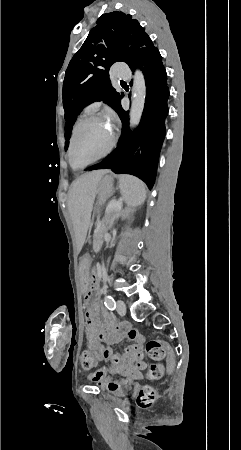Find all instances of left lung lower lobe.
I'll return each instance as SVG.
<instances>
[{
    "mask_svg": "<svg viewBox=\"0 0 241 450\" xmlns=\"http://www.w3.org/2000/svg\"><path fill=\"white\" fill-rule=\"evenodd\" d=\"M130 68L132 71L140 68L146 81V99L140 124L136 131L131 133L129 113L120 106L117 113L122 121V133L117 148L104 161L86 170L107 168L118 174H132L142 179L151 189L165 137L169 97L167 75L162 57L154 46L130 65Z\"/></svg>",
    "mask_w": 241,
    "mask_h": 450,
    "instance_id": "left-lung-lower-lobe-1",
    "label": "left lung lower lobe"
}]
</instances>
